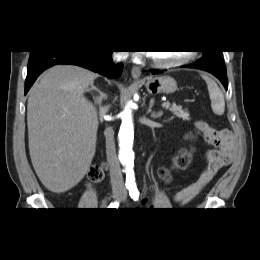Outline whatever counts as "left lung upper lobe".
Returning <instances> with one entry per match:
<instances>
[{"label": "left lung upper lobe", "instance_id": "left-lung-upper-lobe-1", "mask_svg": "<svg viewBox=\"0 0 260 260\" xmlns=\"http://www.w3.org/2000/svg\"><path fill=\"white\" fill-rule=\"evenodd\" d=\"M203 52H204V55H207V54L220 55L219 51H203Z\"/></svg>", "mask_w": 260, "mask_h": 260}]
</instances>
